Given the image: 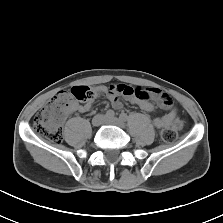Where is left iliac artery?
Wrapping results in <instances>:
<instances>
[{
	"label": "left iliac artery",
	"instance_id": "1",
	"mask_svg": "<svg viewBox=\"0 0 223 223\" xmlns=\"http://www.w3.org/2000/svg\"><path fill=\"white\" fill-rule=\"evenodd\" d=\"M119 118L126 121L127 120V115L122 113V114H120Z\"/></svg>",
	"mask_w": 223,
	"mask_h": 223
}]
</instances>
